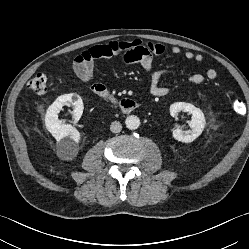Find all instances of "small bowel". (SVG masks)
I'll return each mask as SVG.
<instances>
[{"label":"small bowel","instance_id":"obj_1","mask_svg":"<svg viewBox=\"0 0 249 249\" xmlns=\"http://www.w3.org/2000/svg\"><path fill=\"white\" fill-rule=\"evenodd\" d=\"M165 46L161 43L145 42L142 40H112L105 44L96 45L81 54L74 61V72L84 82L93 78L94 63L98 59H108L121 56L126 65L138 64L149 75V91L153 96L162 97L169 93V88L161 84L162 78L169 72L167 69H156L153 64L155 56L165 52ZM171 52L178 55L180 47L173 46ZM184 57L187 60L201 62L203 55L193 51H186ZM217 77L215 69H208L204 74L194 73L188 77L192 84H201L206 80ZM93 88L107 89L102 83H94Z\"/></svg>","mask_w":249,"mask_h":249}]
</instances>
